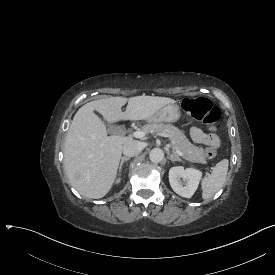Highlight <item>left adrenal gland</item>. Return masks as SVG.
I'll use <instances>...</instances> for the list:
<instances>
[{"mask_svg": "<svg viewBox=\"0 0 275 275\" xmlns=\"http://www.w3.org/2000/svg\"><path fill=\"white\" fill-rule=\"evenodd\" d=\"M166 153H167V158L169 160H171V161H181L180 157L177 154H175V153L170 154L168 149H166Z\"/></svg>", "mask_w": 275, "mask_h": 275, "instance_id": "left-adrenal-gland-1", "label": "left adrenal gland"}]
</instances>
